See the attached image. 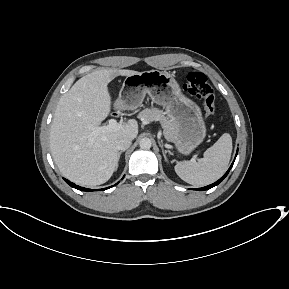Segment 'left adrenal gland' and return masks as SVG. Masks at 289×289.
I'll use <instances>...</instances> for the list:
<instances>
[{"label":"left adrenal gland","instance_id":"left-adrenal-gland-1","mask_svg":"<svg viewBox=\"0 0 289 289\" xmlns=\"http://www.w3.org/2000/svg\"><path fill=\"white\" fill-rule=\"evenodd\" d=\"M160 144V143H159ZM161 148H162V152H163V156L165 158V161H167V156H166V150H164L163 146L160 144Z\"/></svg>","mask_w":289,"mask_h":289}]
</instances>
